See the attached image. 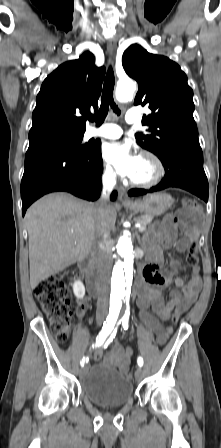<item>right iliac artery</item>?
<instances>
[{
  "label": "right iliac artery",
  "mask_w": 221,
  "mask_h": 448,
  "mask_svg": "<svg viewBox=\"0 0 221 448\" xmlns=\"http://www.w3.org/2000/svg\"><path fill=\"white\" fill-rule=\"evenodd\" d=\"M116 321L117 316L107 317L106 321L103 324L102 330L99 332V335L97 336L95 347L100 346L104 343L108 335L115 329L116 325L118 324ZM86 362H88V358L83 357V359L80 362L81 366H84Z\"/></svg>",
  "instance_id": "82829eb1"
}]
</instances>
